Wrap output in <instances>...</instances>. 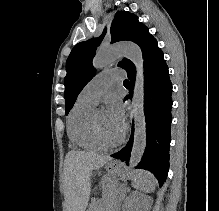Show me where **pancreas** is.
Masks as SVG:
<instances>
[{
  "label": "pancreas",
  "mask_w": 219,
  "mask_h": 211,
  "mask_svg": "<svg viewBox=\"0 0 219 211\" xmlns=\"http://www.w3.org/2000/svg\"><path fill=\"white\" fill-rule=\"evenodd\" d=\"M108 188L119 189L120 186H108ZM123 198L119 192H110V195H105L104 199L90 200L91 207L88 208V211H120L119 204Z\"/></svg>",
  "instance_id": "obj_1"
}]
</instances>
